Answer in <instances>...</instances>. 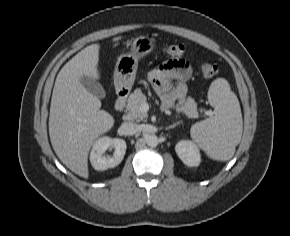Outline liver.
<instances>
[{
	"instance_id": "1",
	"label": "liver",
	"mask_w": 290,
	"mask_h": 236,
	"mask_svg": "<svg viewBox=\"0 0 290 236\" xmlns=\"http://www.w3.org/2000/svg\"><path fill=\"white\" fill-rule=\"evenodd\" d=\"M114 38L113 41L120 40ZM99 44L81 50L59 71L53 88L49 136L61 162L83 178L89 177L88 153L95 140L108 132L114 118L100 110L101 101L81 84L83 76L100 78Z\"/></svg>"
}]
</instances>
